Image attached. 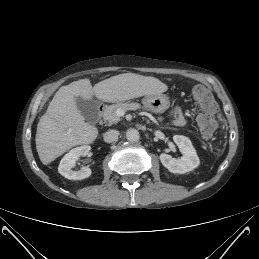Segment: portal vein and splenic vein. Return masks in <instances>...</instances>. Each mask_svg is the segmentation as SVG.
<instances>
[{"instance_id":"18ae733b","label":"portal vein and splenic vein","mask_w":259,"mask_h":259,"mask_svg":"<svg viewBox=\"0 0 259 259\" xmlns=\"http://www.w3.org/2000/svg\"><path fill=\"white\" fill-rule=\"evenodd\" d=\"M120 112V116L124 115V111L123 110H119Z\"/></svg>"}]
</instances>
